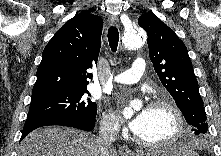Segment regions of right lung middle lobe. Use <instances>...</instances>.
Wrapping results in <instances>:
<instances>
[{
  "mask_svg": "<svg viewBox=\"0 0 221 156\" xmlns=\"http://www.w3.org/2000/svg\"><path fill=\"white\" fill-rule=\"evenodd\" d=\"M87 89L64 91L32 99L28 118L31 117H87L96 118L97 105L90 101Z\"/></svg>",
  "mask_w": 221,
  "mask_h": 156,
  "instance_id": "obj_1",
  "label": "right lung middle lobe"
}]
</instances>
